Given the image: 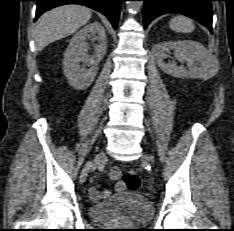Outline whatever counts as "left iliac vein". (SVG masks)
Segmentation results:
<instances>
[{
  "instance_id": "obj_1",
  "label": "left iliac vein",
  "mask_w": 234,
  "mask_h": 231,
  "mask_svg": "<svg viewBox=\"0 0 234 231\" xmlns=\"http://www.w3.org/2000/svg\"><path fill=\"white\" fill-rule=\"evenodd\" d=\"M142 158H143L145 161H148V162H150V163L153 162V159H152L149 155H147V154H143Z\"/></svg>"
}]
</instances>
